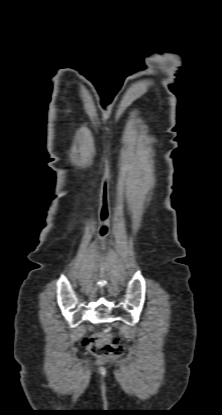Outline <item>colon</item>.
<instances>
[{
  "label": "colon",
  "instance_id": "1",
  "mask_svg": "<svg viewBox=\"0 0 222 415\" xmlns=\"http://www.w3.org/2000/svg\"><path fill=\"white\" fill-rule=\"evenodd\" d=\"M81 343L90 353L102 358L119 355L124 350L118 338L110 331L86 336Z\"/></svg>",
  "mask_w": 222,
  "mask_h": 415
}]
</instances>
